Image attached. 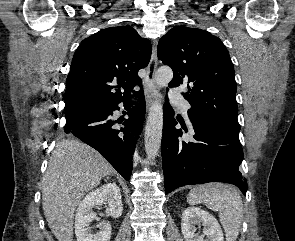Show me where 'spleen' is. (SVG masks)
Here are the masks:
<instances>
[{"instance_id": "obj_1", "label": "spleen", "mask_w": 295, "mask_h": 241, "mask_svg": "<svg viewBox=\"0 0 295 241\" xmlns=\"http://www.w3.org/2000/svg\"><path fill=\"white\" fill-rule=\"evenodd\" d=\"M187 201L191 205L203 203L219 212L226 240L236 241L243 218V202L238 191L222 183H208L190 190Z\"/></svg>"}]
</instances>
